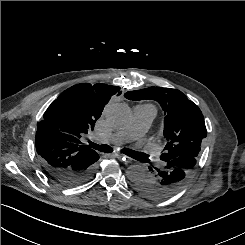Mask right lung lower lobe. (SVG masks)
Listing matches in <instances>:
<instances>
[{
  "label": "right lung lower lobe",
  "instance_id": "obj_1",
  "mask_svg": "<svg viewBox=\"0 0 245 245\" xmlns=\"http://www.w3.org/2000/svg\"><path fill=\"white\" fill-rule=\"evenodd\" d=\"M98 159L66 169L53 168L44 164L43 162L42 166L48 176L57 183L65 187H75L89 181L94 176L96 161Z\"/></svg>",
  "mask_w": 245,
  "mask_h": 245
}]
</instances>
